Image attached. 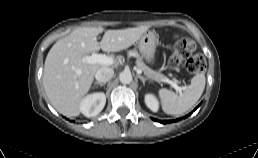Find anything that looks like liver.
<instances>
[{"mask_svg":"<svg viewBox=\"0 0 258 158\" xmlns=\"http://www.w3.org/2000/svg\"><path fill=\"white\" fill-rule=\"evenodd\" d=\"M147 30V26L105 31L102 27H81L58 40L47 54L43 71L44 90L52 106L65 116H78L80 103L96 72L106 67L87 63L84 58L100 49L104 52L127 49ZM103 31L104 36L98 42L97 36Z\"/></svg>","mask_w":258,"mask_h":158,"instance_id":"6515ba94","label":"liver"}]
</instances>
